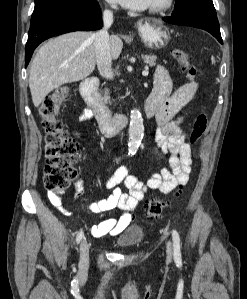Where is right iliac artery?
<instances>
[{"label":"right iliac artery","instance_id":"obj_1","mask_svg":"<svg viewBox=\"0 0 247 299\" xmlns=\"http://www.w3.org/2000/svg\"><path fill=\"white\" fill-rule=\"evenodd\" d=\"M83 236H84V233L82 230H80L76 236V242L79 243L82 240Z\"/></svg>","mask_w":247,"mask_h":299}]
</instances>
